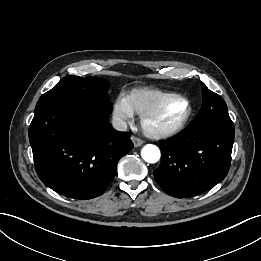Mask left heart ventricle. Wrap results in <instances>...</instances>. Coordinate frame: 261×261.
Returning <instances> with one entry per match:
<instances>
[{
    "mask_svg": "<svg viewBox=\"0 0 261 261\" xmlns=\"http://www.w3.org/2000/svg\"><path fill=\"white\" fill-rule=\"evenodd\" d=\"M187 106L180 100L171 101L162 113L153 121L158 127H167L178 122L185 114Z\"/></svg>",
    "mask_w": 261,
    "mask_h": 261,
    "instance_id": "obj_1",
    "label": "left heart ventricle"
}]
</instances>
